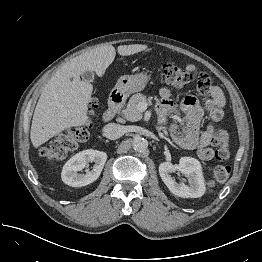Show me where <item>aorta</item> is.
Segmentation results:
<instances>
[{
  "mask_svg": "<svg viewBox=\"0 0 262 262\" xmlns=\"http://www.w3.org/2000/svg\"><path fill=\"white\" fill-rule=\"evenodd\" d=\"M148 147V141L142 137H135L133 140V149L137 152H144Z\"/></svg>",
  "mask_w": 262,
  "mask_h": 262,
  "instance_id": "aorta-1",
  "label": "aorta"
}]
</instances>
